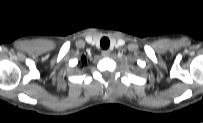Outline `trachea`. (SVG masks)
Segmentation results:
<instances>
[{"label":"trachea","instance_id":"trachea-1","mask_svg":"<svg viewBox=\"0 0 203 123\" xmlns=\"http://www.w3.org/2000/svg\"><path fill=\"white\" fill-rule=\"evenodd\" d=\"M100 45L102 49H107L110 45V41L107 37H103L100 41Z\"/></svg>","mask_w":203,"mask_h":123}]
</instances>
